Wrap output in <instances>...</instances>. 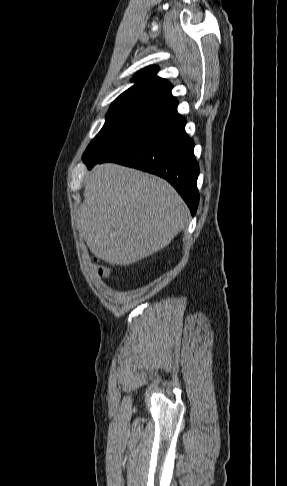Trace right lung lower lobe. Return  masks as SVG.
Wrapping results in <instances>:
<instances>
[{
  "label": "right lung lower lobe",
  "mask_w": 287,
  "mask_h": 486,
  "mask_svg": "<svg viewBox=\"0 0 287 486\" xmlns=\"http://www.w3.org/2000/svg\"><path fill=\"white\" fill-rule=\"evenodd\" d=\"M185 124V119L174 112L137 139L87 167L116 162L161 176L172 184L195 215L199 202L196 186L199 166Z\"/></svg>",
  "instance_id": "right-lung-lower-lobe-1"
}]
</instances>
